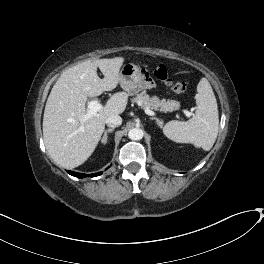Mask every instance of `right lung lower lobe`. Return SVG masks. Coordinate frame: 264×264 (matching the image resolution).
Instances as JSON below:
<instances>
[{
    "label": "right lung lower lobe",
    "instance_id": "1",
    "mask_svg": "<svg viewBox=\"0 0 264 264\" xmlns=\"http://www.w3.org/2000/svg\"><path fill=\"white\" fill-rule=\"evenodd\" d=\"M68 173L72 176H77L78 178H83L86 177V174H82V173H76V172H72V171H68ZM102 174V172L99 173H94V174H90V177H96L98 175Z\"/></svg>",
    "mask_w": 264,
    "mask_h": 264
}]
</instances>
